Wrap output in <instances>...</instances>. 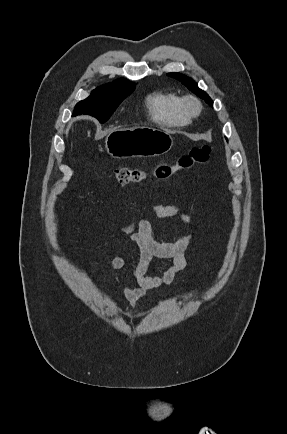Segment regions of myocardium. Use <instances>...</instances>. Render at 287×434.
I'll list each match as a JSON object with an SVG mask.
<instances>
[{
  "instance_id": "obj_1",
  "label": "myocardium",
  "mask_w": 287,
  "mask_h": 434,
  "mask_svg": "<svg viewBox=\"0 0 287 434\" xmlns=\"http://www.w3.org/2000/svg\"><path fill=\"white\" fill-rule=\"evenodd\" d=\"M182 109L188 117L197 116L201 110L199 100L194 96H187L181 101Z\"/></svg>"
}]
</instances>
